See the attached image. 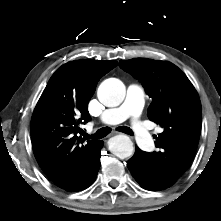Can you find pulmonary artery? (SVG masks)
<instances>
[{"label":"pulmonary artery","mask_w":221,"mask_h":221,"mask_svg":"<svg viewBox=\"0 0 221 221\" xmlns=\"http://www.w3.org/2000/svg\"><path fill=\"white\" fill-rule=\"evenodd\" d=\"M145 102L144 91L141 86L131 84L126 91L123 104L117 108L105 110L100 115V121L106 125H114L131 119L132 131L137 144L143 150H149L154 142L144 124L138 121Z\"/></svg>","instance_id":"obj_1"}]
</instances>
